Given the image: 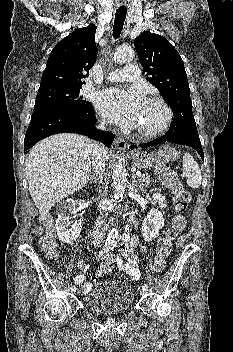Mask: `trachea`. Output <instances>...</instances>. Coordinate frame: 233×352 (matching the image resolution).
Listing matches in <instances>:
<instances>
[{
  "mask_svg": "<svg viewBox=\"0 0 233 352\" xmlns=\"http://www.w3.org/2000/svg\"><path fill=\"white\" fill-rule=\"evenodd\" d=\"M126 14H127L126 8H119L116 10L114 26H113V37L115 39L119 38V36L121 34V31L124 26Z\"/></svg>",
  "mask_w": 233,
  "mask_h": 352,
  "instance_id": "1",
  "label": "trachea"
}]
</instances>
